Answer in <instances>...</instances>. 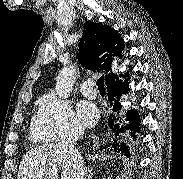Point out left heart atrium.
<instances>
[{"mask_svg":"<svg viewBox=\"0 0 183 179\" xmlns=\"http://www.w3.org/2000/svg\"><path fill=\"white\" fill-rule=\"evenodd\" d=\"M78 115L85 126H93L98 118L99 111L96 105L90 101H81L78 104Z\"/></svg>","mask_w":183,"mask_h":179,"instance_id":"1","label":"left heart atrium"}]
</instances>
